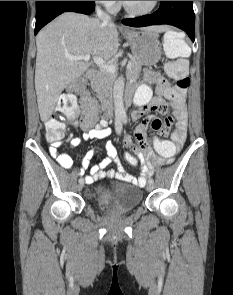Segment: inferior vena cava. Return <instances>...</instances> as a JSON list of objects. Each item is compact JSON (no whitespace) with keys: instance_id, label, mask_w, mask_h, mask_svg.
I'll use <instances>...</instances> for the list:
<instances>
[{"instance_id":"1","label":"inferior vena cava","mask_w":233,"mask_h":295,"mask_svg":"<svg viewBox=\"0 0 233 295\" xmlns=\"http://www.w3.org/2000/svg\"><path fill=\"white\" fill-rule=\"evenodd\" d=\"M96 14L98 18L105 24L109 23L111 20V17L107 13L103 12L99 7L96 9ZM109 104L111 105V102H109Z\"/></svg>"}]
</instances>
